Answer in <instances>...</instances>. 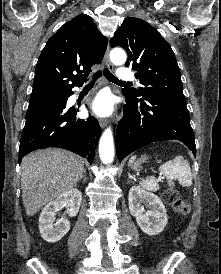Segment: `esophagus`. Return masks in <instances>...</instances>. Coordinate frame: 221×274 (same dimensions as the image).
<instances>
[{
  "label": "esophagus",
  "mask_w": 221,
  "mask_h": 274,
  "mask_svg": "<svg viewBox=\"0 0 221 274\" xmlns=\"http://www.w3.org/2000/svg\"><path fill=\"white\" fill-rule=\"evenodd\" d=\"M104 61H105L106 65L108 66L109 69H111V70L114 69V66L110 62V59H109V47H107V50L105 52ZM107 123H108V121L106 119H99V124H100L101 128H105Z\"/></svg>",
  "instance_id": "1"
}]
</instances>
